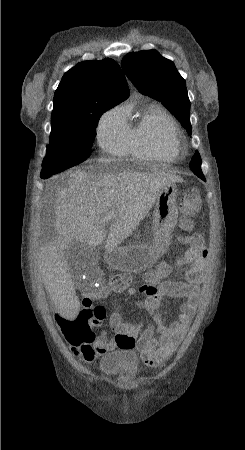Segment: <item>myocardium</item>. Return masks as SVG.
Listing matches in <instances>:
<instances>
[{
    "mask_svg": "<svg viewBox=\"0 0 245 450\" xmlns=\"http://www.w3.org/2000/svg\"><path fill=\"white\" fill-rule=\"evenodd\" d=\"M162 131L167 143L171 146V148L174 151L179 152L181 150L179 132L175 123L170 118H167L164 121Z\"/></svg>",
    "mask_w": 245,
    "mask_h": 450,
    "instance_id": "f54148a6",
    "label": "myocardium"
}]
</instances>
